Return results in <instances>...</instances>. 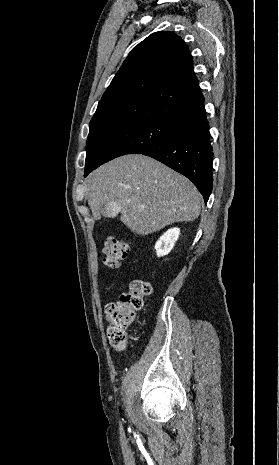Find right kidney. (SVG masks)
I'll list each match as a JSON object with an SVG mask.
<instances>
[{
	"label": "right kidney",
	"mask_w": 279,
	"mask_h": 465,
	"mask_svg": "<svg viewBox=\"0 0 279 465\" xmlns=\"http://www.w3.org/2000/svg\"><path fill=\"white\" fill-rule=\"evenodd\" d=\"M180 235L179 228H171L167 230L156 242L155 250L158 257L167 255L174 247Z\"/></svg>",
	"instance_id": "1"
}]
</instances>
